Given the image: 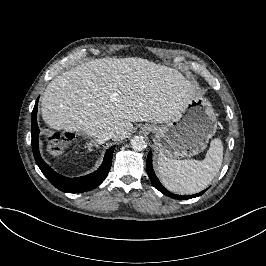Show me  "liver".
<instances>
[{
	"instance_id": "1",
	"label": "liver",
	"mask_w": 266,
	"mask_h": 266,
	"mask_svg": "<svg viewBox=\"0 0 266 266\" xmlns=\"http://www.w3.org/2000/svg\"><path fill=\"white\" fill-rule=\"evenodd\" d=\"M195 85L176 69L139 57L91 60L54 78L41 100L53 129L113 132L125 139L132 122L167 123L193 98Z\"/></svg>"
}]
</instances>
